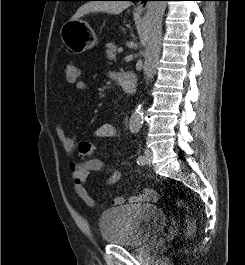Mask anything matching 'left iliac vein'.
Here are the masks:
<instances>
[{"instance_id": "4c4485c4", "label": "left iliac vein", "mask_w": 245, "mask_h": 265, "mask_svg": "<svg viewBox=\"0 0 245 265\" xmlns=\"http://www.w3.org/2000/svg\"><path fill=\"white\" fill-rule=\"evenodd\" d=\"M152 161V151L150 149H145L144 151V165H150Z\"/></svg>"}]
</instances>
